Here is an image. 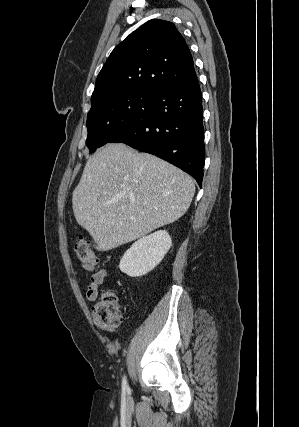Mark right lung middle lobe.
<instances>
[{"label": "right lung middle lobe", "instance_id": "right-lung-middle-lobe-1", "mask_svg": "<svg viewBox=\"0 0 299 427\" xmlns=\"http://www.w3.org/2000/svg\"><path fill=\"white\" fill-rule=\"evenodd\" d=\"M152 98L149 94L122 92L93 103L87 115L89 152L93 153L130 127L147 110Z\"/></svg>", "mask_w": 299, "mask_h": 427}]
</instances>
